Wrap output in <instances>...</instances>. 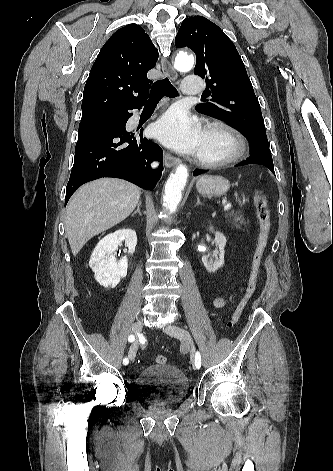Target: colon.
I'll return each mask as SVG.
<instances>
[{"label":"colon","mask_w":333,"mask_h":471,"mask_svg":"<svg viewBox=\"0 0 333 471\" xmlns=\"http://www.w3.org/2000/svg\"><path fill=\"white\" fill-rule=\"evenodd\" d=\"M254 205L256 208V215L259 222L260 230L256 247L252 256L251 271L244 296L239 302L232 318L226 324L230 328L237 323L245 306L255 293L257 279L260 271V265L268 243L269 233L271 229L270 211L264 196L260 192H256L254 194ZM155 361L158 364H164L166 363V357L164 355H157Z\"/></svg>","instance_id":"1"}]
</instances>
